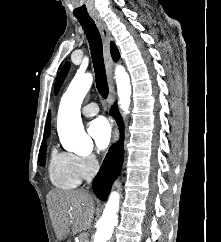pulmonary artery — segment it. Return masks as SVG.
I'll return each mask as SVG.
<instances>
[{"label": "pulmonary artery", "instance_id": "e3ab8cb5", "mask_svg": "<svg viewBox=\"0 0 221 242\" xmlns=\"http://www.w3.org/2000/svg\"><path fill=\"white\" fill-rule=\"evenodd\" d=\"M99 112V108L96 103H89L82 108V113L86 117L95 116Z\"/></svg>", "mask_w": 221, "mask_h": 242}]
</instances>
